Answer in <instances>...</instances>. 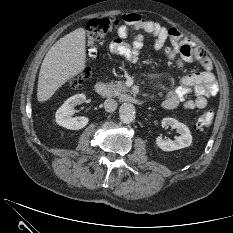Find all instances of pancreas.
Masks as SVG:
<instances>
[{
    "mask_svg": "<svg viewBox=\"0 0 233 233\" xmlns=\"http://www.w3.org/2000/svg\"><path fill=\"white\" fill-rule=\"evenodd\" d=\"M108 87V96H121L123 93L129 91V88L124 85L121 81L110 82L107 84Z\"/></svg>",
    "mask_w": 233,
    "mask_h": 233,
    "instance_id": "1",
    "label": "pancreas"
}]
</instances>
